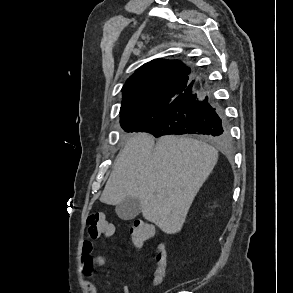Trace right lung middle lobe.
I'll use <instances>...</instances> for the list:
<instances>
[{
    "mask_svg": "<svg viewBox=\"0 0 293 293\" xmlns=\"http://www.w3.org/2000/svg\"><path fill=\"white\" fill-rule=\"evenodd\" d=\"M120 117L122 128L126 132H134L152 119L154 117V113L149 108H140L129 113L121 114Z\"/></svg>",
    "mask_w": 293,
    "mask_h": 293,
    "instance_id": "right-lung-middle-lobe-1",
    "label": "right lung middle lobe"
}]
</instances>
